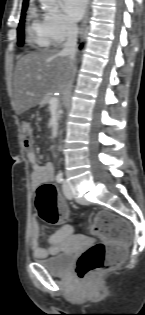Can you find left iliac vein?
Instances as JSON below:
<instances>
[{"instance_id": "left-iliac-vein-1", "label": "left iliac vein", "mask_w": 145, "mask_h": 315, "mask_svg": "<svg viewBox=\"0 0 145 315\" xmlns=\"http://www.w3.org/2000/svg\"><path fill=\"white\" fill-rule=\"evenodd\" d=\"M63 193L67 199L73 198V192H72L71 186L67 180H64V182H63Z\"/></svg>"}]
</instances>
